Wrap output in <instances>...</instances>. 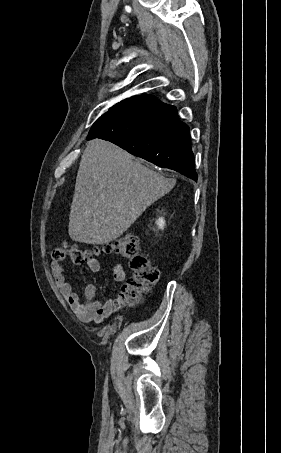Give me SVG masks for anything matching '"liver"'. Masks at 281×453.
<instances>
[{"mask_svg":"<svg viewBox=\"0 0 281 453\" xmlns=\"http://www.w3.org/2000/svg\"><path fill=\"white\" fill-rule=\"evenodd\" d=\"M112 142L89 140L80 160L69 214L76 243L107 245L121 237L176 178L147 168Z\"/></svg>","mask_w":281,"mask_h":453,"instance_id":"liver-1","label":"liver"}]
</instances>
